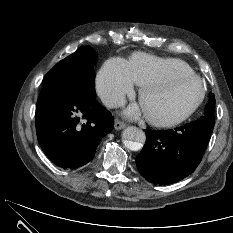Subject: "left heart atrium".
<instances>
[{"mask_svg":"<svg viewBox=\"0 0 233 233\" xmlns=\"http://www.w3.org/2000/svg\"><path fill=\"white\" fill-rule=\"evenodd\" d=\"M142 113V109L137 105L133 104L124 111V115L129 119H137Z\"/></svg>","mask_w":233,"mask_h":233,"instance_id":"obj_1","label":"left heart atrium"}]
</instances>
